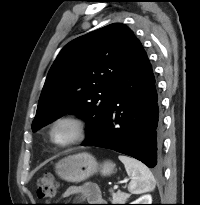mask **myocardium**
Masks as SVG:
<instances>
[{
    "instance_id": "obj_1",
    "label": "myocardium",
    "mask_w": 200,
    "mask_h": 205,
    "mask_svg": "<svg viewBox=\"0 0 200 205\" xmlns=\"http://www.w3.org/2000/svg\"><path fill=\"white\" fill-rule=\"evenodd\" d=\"M63 125L69 126L71 128L72 133L68 139L64 141H58L55 138V133L56 130ZM86 132L87 124L84 118L77 113L69 112L60 115L51 123L48 135L50 141L54 145L64 148L72 146L83 140L86 136Z\"/></svg>"
}]
</instances>
